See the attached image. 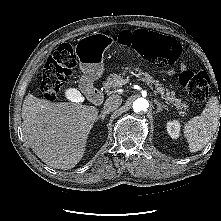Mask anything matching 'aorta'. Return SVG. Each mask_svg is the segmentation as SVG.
<instances>
[{
	"instance_id": "1",
	"label": "aorta",
	"mask_w": 221,
	"mask_h": 221,
	"mask_svg": "<svg viewBox=\"0 0 221 221\" xmlns=\"http://www.w3.org/2000/svg\"><path fill=\"white\" fill-rule=\"evenodd\" d=\"M148 107H149V103L144 98H138L133 102V110L136 113L141 112V111H146Z\"/></svg>"
}]
</instances>
